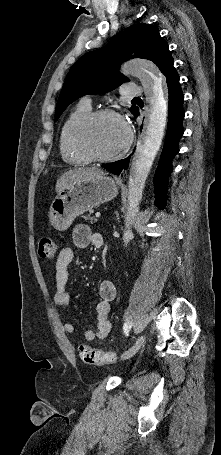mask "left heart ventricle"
Returning a JSON list of instances; mask_svg holds the SVG:
<instances>
[{"instance_id": "obj_1", "label": "left heart ventricle", "mask_w": 221, "mask_h": 455, "mask_svg": "<svg viewBox=\"0 0 221 455\" xmlns=\"http://www.w3.org/2000/svg\"><path fill=\"white\" fill-rule=\"evenodd\" d=\"M126 132L123 124L114 117H103L91 128L89 144L91 149L100 156L117 152L124 145Z\"/></svg>"}]
</instances>
